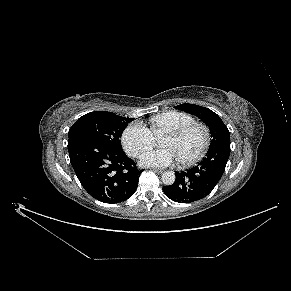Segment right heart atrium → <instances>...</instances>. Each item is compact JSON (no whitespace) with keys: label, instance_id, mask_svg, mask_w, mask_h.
<instances>
[{"label":"right heart atrium","instance_id":"1","mask_svg":"<svg viewBox=\"0 0 291 291\" xmlns=\"http://www.w3.org/2000/svg\"><path fill=\"white\" fill-rule=\"evenodd\" d=\"M154 142L155 136L151 130L141 123L129 125L122 134L124 149L134 157L149 149Z\"/></svg>","mask_w":291,"mask_h":291}]
</instances>
